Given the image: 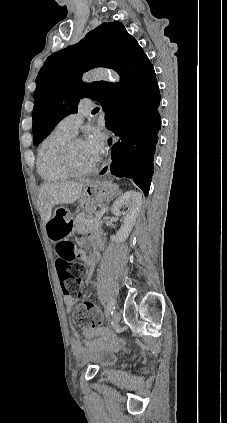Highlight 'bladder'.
Returning a JSON list of instances; mask_svg holds the SVG:
<instances>
[{"mask_svg": "<svg viewBox=\"0 0 227 423\" xmlns=\"http://www.w3.org/2000/svg\"><path fill=\"white\" fill-rule=\"evenodd\" d=\"M118 362V355L107 350H94L88 356L82 358V364H94L100 370L114 366Z\"/></svg>", "mask_w": 227, "mask_h": 423, "instance_id": "1", "label": "bladder"}]
</instances>
